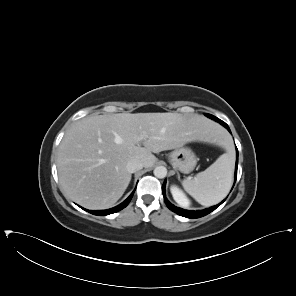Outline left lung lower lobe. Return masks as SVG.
<instances>
[{
	"instance_id": "0a47b994",
	"label": "left lung lower lobe",
	"mask_w": 296,
	"mask_h": 296,
	"mask_svg": "<svg viewBox=\"0 0 296 296\" xmlns=\"http://www.w3.org/2000/svg\"><path fill=\"white\" fill-rule=\"evenodd\" d=\"M223 126H225L229 131V127L226 123L224 122H220ZM236 156H237V159H236V170H235V181H236V178H237V167H238V150L236 152ZM165 184L166 182L163 183V186H162V193H163V196H164V200H165V203L167 205V207L172 210L173 212L183 216V217H187V218H200L202 216H205L207 214H209L210 212H212L213 210H215L217 207H219L223 201L216 205V206H213L209 209H205V210H202V211H188V210H184L182 208H179V207H176L174 205H172L166 198L165 196Z\"/></svg>"
}]
</instances>
